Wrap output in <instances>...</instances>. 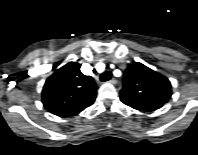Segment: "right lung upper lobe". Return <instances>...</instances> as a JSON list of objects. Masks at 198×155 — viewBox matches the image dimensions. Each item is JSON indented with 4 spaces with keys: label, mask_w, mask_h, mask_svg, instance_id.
Returning a JSON list of instances; mask_svg holds the SVG:
<instances>
[{
    "label": "right lung upper lobe",
    "mask_w": 198,
    "mask_h": 155,
    "mask_svg": "<svg viewBox=\"0 0 198 155\" xmlns=\"http://www.w3.org/2000/svg\"><path fill=\"white\" fill-rule=\"evenodd\" d=\"M80 67L77 62H69L47 79L42 102L48 111L57 116H71L93 104L97 86L91 76L81 73Z\"/></svg>",
    "instance_id": "right-lung-upper-lobe-1"
}]
</instances>
